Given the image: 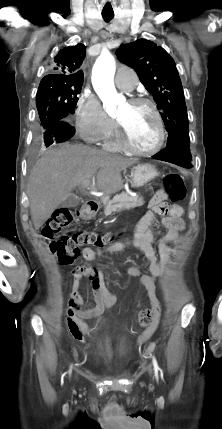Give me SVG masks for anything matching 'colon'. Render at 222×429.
Listing matches in <instances>:
<instances>
[{
    "label": "colon",
    "instance_id": "obj_1",
    "mask_svg": "<svg viewBox=\"0 0 222 429\" xmlns=\"http://www.w3.org/2000/svg\"><path fill=\"white\" fill-rule=\"evenodd\" d=\"M165 199L178 202L185 198L186 188L182 177L177 173H170L165 179V188L161 191ZM76 218L75 212L69 209H60L43 228V236L48 242L54 255L63 264H71L87 247H102L111 240L109 234L71 231L55 239L56 235L68 227ZM160 315V306L157 301H152L150 306L139 314V324L143 328L155 325Z\"/></svg>",
    "mask_w": 222,
    "mask_h": 429
}]
</instances>
